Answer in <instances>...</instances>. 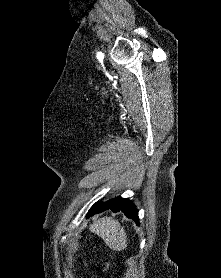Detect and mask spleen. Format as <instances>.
Listing matches in <instances>:
<instances>
[{"instance_id": "obj_1", "label": "spleen", "mask_w": 221, "mask_h": 278, "mask_svg": "<svg viewBox=\"0 0 221 278\" xmlns=\"http://www.w3.org/2000/svg\"><path fill=\"white\" fill-rule=\"evenodd\" d=\"M90 231L103 239L109 248L122 251L127 247V235L120 223L111 217H103L90 226Z\"/></svg>"}]
</instances>
